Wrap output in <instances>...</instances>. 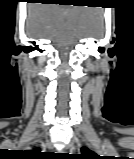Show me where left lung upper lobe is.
Listing matches in <instances>:
<instances>
[{
	"instance_id": "left-lung-upper-lobe-1",
	"label": "left lung upper lobe",
	"mask_w": 134,
	"mask_h": 159,
	"mask_svg": "<svg viewBox=\"0 0 134 159\" xmlns=\"http://www.w3.org/2000/svg\"><path fill=\"white\" fill-rule=\"evenodd\" d=\"M82 154H75L72 158L73 159H101L98 155L94 152L90 151L89 149L83 147L81 149Z\"/></svg>"
}]
</instances>
